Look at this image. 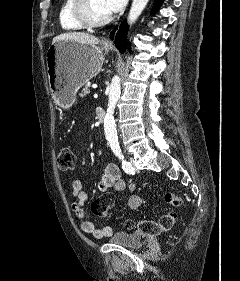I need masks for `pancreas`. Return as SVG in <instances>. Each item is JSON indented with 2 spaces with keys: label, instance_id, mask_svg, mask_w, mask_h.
<instances>
[{
  "label": "pancreas",
  "instance_id": "cf45deb5",
  "mask_svg": "<svg viewBox=\"0 0 240 281\" xmlns=\"http://www.w3.org/2000/svg\"><path fill=\"white\" fill-rule=\"evenodd\" d=\"M89 93H90L89 86H85V87L82 89V91H81V93H80V96H81V97H84V96L88 95Z\"/></svg>",
  "mask_w": 240,
  "mask_h": 281
}]
</instances>
